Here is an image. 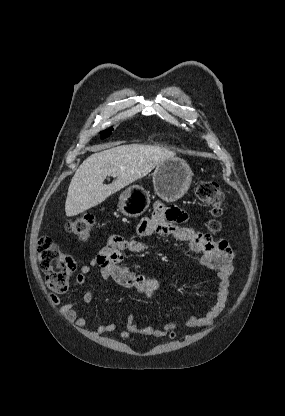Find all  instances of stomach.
<instances>
[{"instance_id":"0dacf381","label":"stomach","mask_w":285,"mask_h":416,"mask_svg":"<svg viewBox=\"0 0 285 416\" xmlns=\"http://www.w3.org/2000/svg\"><path fill=\"white\" fill-rule=\"evenodd\" d=\"M192 172L182 158H169L156 166L152 176L155 194L165 202H176L187 194ZM150 206V194L142 186H129L119 198V210L127 218L142 216Z\"/></svg>"}]
</instances>
